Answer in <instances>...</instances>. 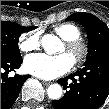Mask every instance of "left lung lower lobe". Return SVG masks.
Wrapping results in <instances>:
<instances>
[{
  "instance_id": "obj_1",
  "label": "left lung lower lobe",
  "mask_w": 109,
  "mask_h": 109,
  "mask_svg": "<svg viewBox=\"0 0 109 109\" xmlns=\"http://www.w3.org/2000/svg\"><path fill=\"white\" fill-rule=\"evenodd\" d=\"M58 83L66 91L77 87L81 97L79 101L69 103L64 94L60 100L52 101L55 109H98L109 96V57L86 64L74 74L59 79Z\"/></svg>"
}]
</instances>
